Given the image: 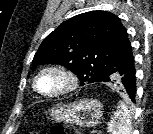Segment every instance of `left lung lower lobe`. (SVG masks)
<instances>
[{
    "label": "left lung lower lobe",
    "instance_id": "obj_1",
    "mask_svg": "<svg viewBox=\"0 0 153 134\" xmlns=\"http://www.w3.org/2000/svg\"><path fill=\"white\" fill-rule=\"evenodd\" d=\"M135 74L136 70L134 67V58L132 57L114 73V79H113L118 82L119 91L128 95L133 102H135V93H136ZM102 82L108 83L110 81L109 79L106 78Z\"/></svg>",
    "mask_w": 153,
    "mask_h": 134
}]
</instances>
